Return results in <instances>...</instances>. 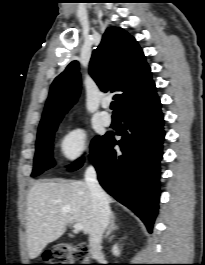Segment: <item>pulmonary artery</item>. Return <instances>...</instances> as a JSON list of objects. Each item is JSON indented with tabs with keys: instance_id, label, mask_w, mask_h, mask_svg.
I'll return each instance as SVG.
<instances>
[{
	"instance_id": "e3ab8cb5",
	"label": "pulmonary artery",
	"mask_w": 205,
	"mask_h": 265,
	"mask_svg": "<svg viewBox=\"0 0 205 265\" xmlns=\"http://www.w3.org/2000/svg\"><path fill=\"white\" fill-rule=\"evenodd\" d=\"M108 106H109V104L107 102H105L103 104V108L104 109H107ZM101 120H102V122H103L104 125L108 126L112 122V117H111V115L107 111H103L102 114H101Z\"/></svg>"
}]
</instances>
